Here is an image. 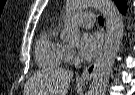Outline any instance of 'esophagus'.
<instances>
[{"mask_svg":"<svg viewBox=\"0 0 135 95\" xmlns=\"http://www.w3.org/2000/svg\"><path fill=\"white\" fill-rule=\"evenodd\" d=\"M96 68V61L91 63L90 65H88L82 72V74L79 77V81L81 82H88L89 80H91L94 71Z\"/></svg>","mask_w":135,"mask_h":95,"instance_id":"esophagus-1","label":"esophagus"}]
</instances>
